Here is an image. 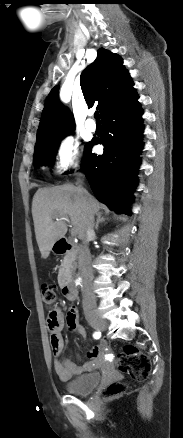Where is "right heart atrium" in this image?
<instances>
[{"instance_id": "1", "label": "right heart atrium", "mask_w": 183, "mask_h": 438, "mask_svg": "<svg viewBox=\"0 0 183 438\" xmlns=\"http://www.w3.org/2000/svg\"><path fill=\"white\" fill-rule=\"evenodd\" d=\"M81 162L80 142L73 135L63 136L55 152V171L67 173L77 169Z\"/></svg>"}]
</instances>
